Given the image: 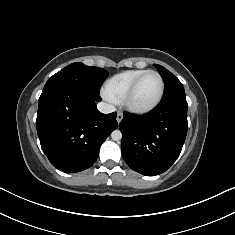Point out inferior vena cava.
Listing matches in <instances>:
<instances>
[{"label":"inferior vena cava","mask_w":235,"mask_h":235,"mask_svg":"<svg viewBox=\"0 0 235 235\" xmlns=\"http://www.w3.org/2000/svg\"><path fill=\"white\" fill-rule=\"evenodd\" d=\"M97 108L101 113L108 114L115 111V107L105 102H99Z\"/></svg>","instance_id":"602c4592"}]
</instances>
